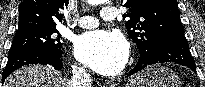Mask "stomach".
<instances>
[{"label": "stomach", "instance_id": "stomach-1", "mask_svg": "<svg viewBox=\"0 0 205 87\" xmlns=\"http://www.w3.org/2000/svg\"><path fill=\"white\" fill-rule=\"evenodd\" d=\"M125 87H181V81L172 70L154 65L133 75Z\"/></svg>", "mask_w": 205, "mask_h": 87}]
</instances>
